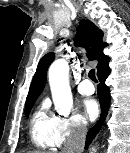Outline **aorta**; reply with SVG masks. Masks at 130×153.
<instances>
[{"instance_id": "1", "label": "aorta", "mask_w": 130, "mask_h": 153, "mask_svg": "<svg viewBox=\"0 0 130 153\" xmlns=\"http://www.w3.org/2000/svg\"><path fill=\"white\" fill-rule=\"evenodd\" d=\"M48 76L55 109L60 115L68 116L73 108V98L67 61L64 59L54 61L49 68Z\"/></svg>"}]
</instances>
